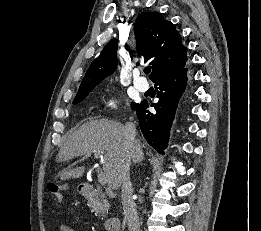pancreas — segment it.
I'll list each match as a JSON object with an SVG mask.
<instances>
[{"instance_id": "obj_1", "label": "pancreas", "mask_w": 261, "mask_h": 231, "mask_svg": "<svg viewBox=\"0 0 261 231\" xmlns=\"http://www.w3.org/2000/svg\"><path fill=\"white\" fill-rule=\"evenodd\" d=\"M88 205L91 207V211L97 214H104L109 209V203L104 194H99V198H90Z\"/></svg>"}]
</instances>
